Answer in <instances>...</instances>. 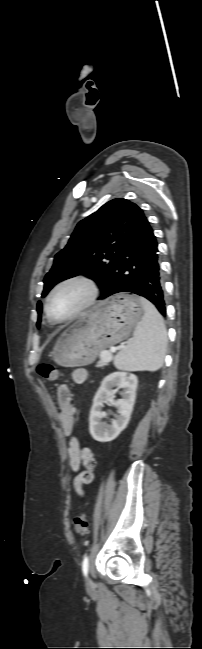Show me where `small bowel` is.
Segmentation results:
<instances>
[{
  "mask_svg": "<svg viewBox=\"0 0 202 649\" xmlns=\"http://www.w3.org/2000/svg\"><path fill=\"white\" fill-rule=\"evenodd\" d=\"M86 376V370L83 368L75 369L71 375L72 381L76 384L83 383ZM57 404L62 433L65 437L70 438L66 449L69 466L74 473H78L81 466H84V469L73 481V486L77 493L83 495V487L92 483L94 480L96 461L93 452L88 448H83L79 440L72 436L76 407L73 395L64 385L57 386Z\"/></svg>",
  "mask_w": 202,
  "mask_h": 649,
  "instance_id": "c3829d8e",
  "label": "small bowel"
}]
</instances>
